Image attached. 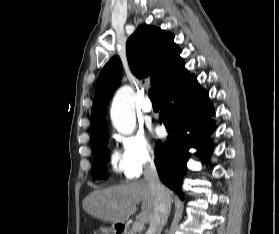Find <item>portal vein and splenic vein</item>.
Masks as SVG:
<instances>
[{"label":"portal vein and splenic vein","instance_id":"18ae733b","mask_svg":"<svg viewBox=\"0 0 279 234\" xmlns=\"http://www.w3.org/2000/svg\"><path fill=\"white\" fill-rule=\"evenodd\" d=\"M144 227V223L142 221H137L132 225V229L135 232L141 231Z\"/></svg>","mask_w":279,"mask_h":234}]
</instances>
